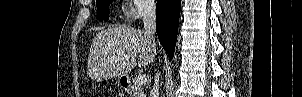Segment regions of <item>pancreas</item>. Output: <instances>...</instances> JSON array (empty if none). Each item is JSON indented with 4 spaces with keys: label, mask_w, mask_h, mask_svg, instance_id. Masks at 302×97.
Returning a JSON list of instances; mask_svg holds the SVG:
<instances>
[{
    "label": "pancreas",
    "mask_w": 302,
    "mask_h": 97,
    "mask_svg": "<svg viewBox=\"0 0 302 97\" xmlns=\"http://www.w3.org/2000/svg\"><path fill=\"white\" fill-rule=\"evenodd\" d=\"M142 86L138 85L137 83H134L131 87V96L132 97H145V94L143 93Z\"/></svg>",
    "instance_id": "1"
}]
</instances>
